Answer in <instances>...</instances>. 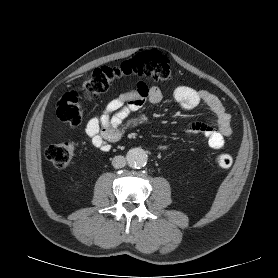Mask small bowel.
<instances>
[{
	"instance_id": "small-bowel-1",
	"label": "small bowel",
	"mask_w": 278,
	"mask_h": 278,
	"mask_svg": "<svg viewBox=\"0 0 278 278\" xmlns=\"http://www.w3.org/2000/svg\"><path fill=\"white\" fill-rule=\"evenodd\" d=\"M174 100L184 110H192L200 104H205L216 117V127L202 123H192L187 130L192 133H202L208 145L215 150L221 149L225 140L232 135L231 116L226 111L219 98L206 90H196L190 86L179 85L172 92ZM163 99L162 89L157 86H148L139 82L133 90L123 92L107 103L103 112L90 118L85 126V134L91 145L108 152L111 144L119 141L125 133L147 122V116L141 114L129 118L131 113L140 110L144 105L154 106ZM167 150L166 146H160Z\"/></svg>"
}]
</instances>
